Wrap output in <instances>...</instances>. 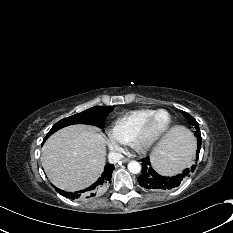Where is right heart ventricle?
Masks as SVG:
<instances>
[{"instance_id": "right-heart-ventricle-1", "label": "right heart ventricle", "mask_w": 233, "mask_h": 233, "mask_svg": "<svg viewBox=\"0 0 233 233\" xmlns=\"http://www.w3.org/2000/svg\"><path fill=\"white\" fill-rule=\"evenodd\" d=\"M153 111L150 108H141L120 116L111 126V139L120 145L131 144L140 125Z\"/></svg>"}]
</instances>
